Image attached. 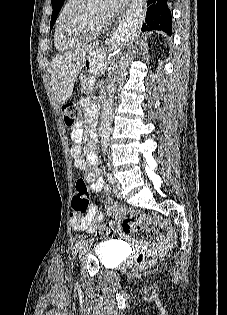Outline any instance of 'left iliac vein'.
I'll return each mask as SVG.
<instances>
[{"label":"left iliac vein","instance_id":"1","mask_svg":"<svg viewBox=\"0 0 227 315\" xmlns=\"http://www.w3.org/2000/svg\"><path fill=\"white\" fill-rule=\"evenodd\" d=\"M113 185H114V193H115V195H116L118 198H121V197H122V192H121V185H120V182H119L118 180L114 179ZM88 243H89L88 241H85V242H83V243L81 244V246H80V248H79L80 253H83V252L86 250V248H87V246H88Z\"/></svg>","mask_w":227,"mask_h":315}]
</instances>
